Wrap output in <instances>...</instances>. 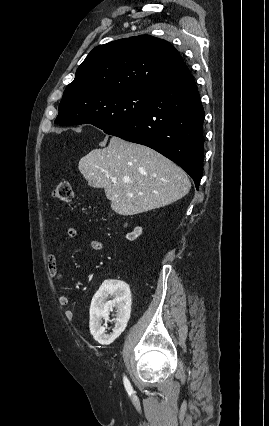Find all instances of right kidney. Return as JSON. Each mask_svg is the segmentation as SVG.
Instances as JSON below:
<instances>
[{
  "label": "right kidney",
  "instance_id": "1",
  "mask_svg": "<svg viewBox=\"0 0 269 426\" xmlns=\"http://www.w3.org/2000/svg\"><path fill=\"white\" fill-rule=\"evenodd\" d=\"M127 224L124 225L126 227ZM142 233L141 227H136L133 232L126 234V239L134 241ZM113 297L107 301L108 297ZM131 303V293L129 286L123 281L107 280L98 292L95 294L90 308V332L94 339L101 344H108L114 338V335L105 334V327L102 324V318L107 320L109 311L116 307L117 318L115 327L119 328L124 323V317L127 315Z\"/></svg>",
  "mask_w": 269,
  "mask_h": 426
}]
</instances>
